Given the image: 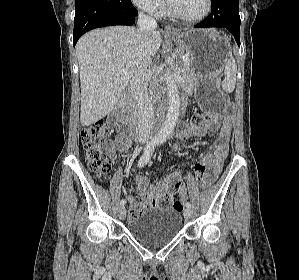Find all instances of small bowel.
Returning <instances> with one entry per match:
<instances>
[{"label":"small bowel","mask_w":299,"mask_h":280,"mask_svg":"<svg viewBox=\"0 0 299 280\" xmlns=\"http://www.w3.org/2000/svg\"><path fill=\"white\" fill-rule=\"evenodd\" d=\"M217 130H219L218 137L202 158V161L208 165V175L211 180L215 179L220 172L228 154L232 130L231 121L226 120L221 126L214 120L205 121L200 125H194L192 121L181 122L178 125L179 144L183 147L186 146V141L193 137L204 136L208 132ZM130 143V139L125 134L120 133L113 142L107 144V154L114 158L116 150L126 151L129 149ZM135 181L137 184L136 192L140 202L133 196H127V199L131 207L140 205L142 211L153 207L171 208L175 202V196H178L181 200L186 197L187 187L178 172L169 174L165 180L156 184H151L144 175H137Z\"/></svg>","instance_id":"small-bowel-1"}]
</instances>
